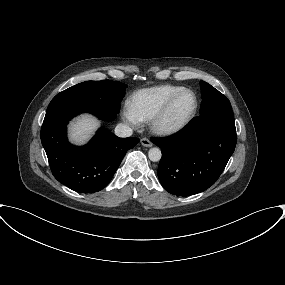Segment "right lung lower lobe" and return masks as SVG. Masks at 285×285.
I'll return each mask as SVG.
<instances>
[{"label": "right lung lower lobe", "mask_w": 285, "mask_h": 285, "mask_svg": "<svg viewBox=\"0 0 285 285\" xmlns=\"http://www.w3.org/2000/svg\"><path fill=\"white\" fill-rule=\"evenodd\" d=\"M82 112L92 113L105 121L117 116L75 98L55 96L41 127V142L52 174L60 183L76 192L94 193L110 182L127 150L139 139L119 138L106 128H100L88 144L73 146L67 140L66 125Z\"/></svg>", "instance_id": "98d812e1"}]
</instances>
